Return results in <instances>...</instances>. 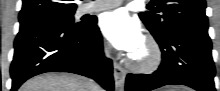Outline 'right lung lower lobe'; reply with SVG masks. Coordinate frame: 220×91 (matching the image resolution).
I'll use <instances>...</instances> for the list:
<instances>
[{
	"instance_id": "obj_1",
	"label": "right lung lower lobe",
	"mask_w": 220,
	"mask_h": 91,
	"mask_svg": "<svg viewBox=\"0 0 220 91\" xmlns=\"http://www.w3.org/2000/svg\"><path fill=\"white\" fill-rule=\"evenodd\" d=\"M11 64L12 88L45 72H70L96 80L113 91V66L103 54L102 36L95 21L73 27L51 17L20 21Z\"/></svg>"
}]
</instances>
